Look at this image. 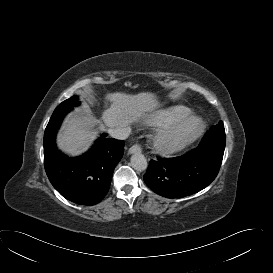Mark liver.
Returning <instances> with one entry per match:
<instances>
[{"mask_svg": "<svg viewBox=\"0 0 273 273\" xmlns=\"http://www.w3.org/2000/svg\"><path fill=\"white\" fill-rule=\"evenodd\" d=\"M106 100L111 103L102 119L109 128H127L133 122L146 118L158 107L156 96L149 92L129 95L121 92L109 93ZM99 123L89 115L69 116L57 137L58 147L66 153L77 155L86 151L97 136L94 128Z\"/></svg>", "mask_w": 273, "mask_h": 273, "instance_id": "liver-1", "label": "liver"}]
</instances>
